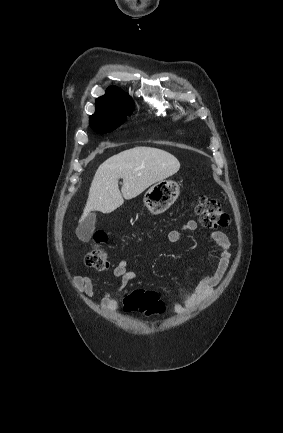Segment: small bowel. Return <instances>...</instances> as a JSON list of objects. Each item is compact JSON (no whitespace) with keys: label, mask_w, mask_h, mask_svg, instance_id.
Returning a JSON list of instances; mask_svg holds the SVG:
<instances>
[{"label":"small bowel","mask_w":283,"mask_h":433,"mask_svg":"<svg viewBox=\"0 0 283 433\" xmlns=\"http://www.w3.org/2000/svg\"><path fill=\"white\" fill-rule=\"evenodd\" d=\"M198 225L194 220L186 221L180 229L171 230L168 233V240L171 243L179 242L184 232L197 230ZM210 239L220 248V257L218 264L206 274L194 287V289L185 297L183 302L176 301L173 304L174 312L184 314L197 307L205 298L210 296L215 287L221 282L229 267L231 253L230 237L221 231H213L209 234ZM116 278L121 280V289H124L129 282L136 278V273L128 269V262L121 260L113 270ZM74 282L81 293L92 297L96 290L89 275H78ZM101 306L109 310H116L118 307L117 300L108 292L104 293L101 298Z\"/></svg>","instance_id":"c3829d8e"}]
</instances>
